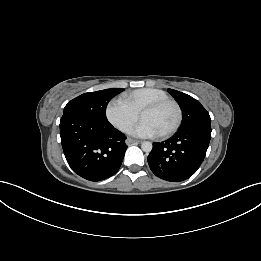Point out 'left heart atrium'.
<instances>
[{
	"label": "left heart atrium",
	"instance_id": "obj_1",
	"mask_svg": "<svg viewBox=\"0 0 261 261\" xmlns=\"http://www.w3.org/2000/svg\"><path fill=\"white\" fill-rule=\"evenodd\" d=\"M131 134L142 138H153L162 134V132L148 120H142L131 130Z\"/></svg>",
	"mask_w": 261,
	"mask_h": 261
}]
</instances>
